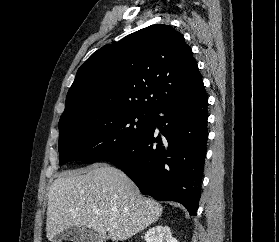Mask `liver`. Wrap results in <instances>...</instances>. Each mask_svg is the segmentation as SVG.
<instances>
[{
  "instance_id": "obj_1",
  "label": "liver",
  "mask_w": 279,
  "mask_h": 242,
  "mask_svg": "<svg viewBox=\"0 0 279 242\" xmlns=\"http://www.w3.org/2000/svg\"><path fill=\"white\" fill-rule=\"evenodd\" d=\"M162 211L121 170L96 164L63 172L54 180L48 192L46 236L54 242L63 230L79 227L124 241L155 222Z\"/></svg>"
}]
</instances>
